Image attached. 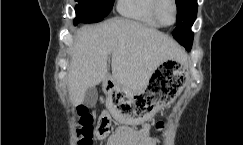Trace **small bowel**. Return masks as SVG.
Returning a JSON list of instances; mask_svg holds the SVG:
<instances>
[{
	"mask_svg": "<svg viewBox=\"0 0 243 145\" xmlns=\"http://www.w3.org/2000/svg\"><path fill=\"white\" fill-rule=\"evenodd\" d=\"M104 115H107V113L103 112L101 114V116ZM105 145H156V142L150 137L149 125L144 124L137 130L126 126L118 127L105 139Z\"/></svg>",
	"mask_w": 243,
	"mask_h": 145,
	"instance_id": "obj_1",
	"label": "small bowel"
}]
</instances>
